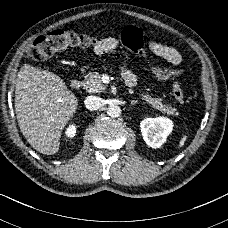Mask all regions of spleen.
Segmentation results:
<instances>
[{
    "label": "spleen",
    "mask_w": 228,
    "mask_h": 228,
    "mask_svg": "<svg viewBox=\"0 0 228 228\" xmlns=\"http://www.w3.org/2000/svg\"><path fill=\"white\" fill-rule=\"evenodd\" d=\"M187 140H188V135L187 134L182 135L181 138H180V141L178 143L177 148L181 149L185 145Z\"/></svg>",
    "instance_id": "1"
}]
</instances>
